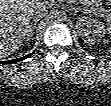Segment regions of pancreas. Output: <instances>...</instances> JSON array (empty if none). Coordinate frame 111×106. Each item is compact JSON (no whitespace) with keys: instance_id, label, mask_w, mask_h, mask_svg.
I'll use <instances>...</instances> for the list:
<instances>
[{"instance_id":"obj_1","label":"pancreas","mask_w":111,"mask_h":106,"mask_svg":"<svg viewBox=\"0 0 111 106\" xmlns=\"http://www.w3.org/2000/svg\"><path fill=\"white\" fill-rule=\"evenodd\" d=\"M81 3L87 13L99 17H106L111 21V8L108 7V5H111V1L103 2L102 0H83Z\"/></svg>"}]
</instances>
